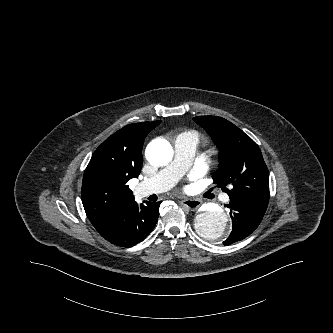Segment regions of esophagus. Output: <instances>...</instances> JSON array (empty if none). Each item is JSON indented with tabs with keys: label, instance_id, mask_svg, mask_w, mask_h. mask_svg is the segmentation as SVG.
I'll list each match as a JSON object with an SVG mask.
<instances>
[{
	"label": "esophagus",
	"instance_id": "34e87169",
	"mask_svg": "<svg viewBox=\"0 0 333 333\" xmlns=\"http://www.w3.org/2000/svg\"><path fill=\"white\" fill-rule=\"evenodd\" d=\"M180 203L191 211H195L201 205V201L197 199H181Z\"/></svg>",
	"mask_w": 333,
	"mask_h": 333
}]
</instances>
